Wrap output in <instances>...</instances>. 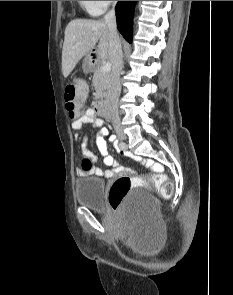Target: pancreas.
<instances>
[{
	"instance_id": "pancreas-1",
	"label": "pancreas",
	"mask_w": 233,
	"mask_h": 295,
	"mask_svg": "<svg viewBox=\"0 0 233 295\" xmlns=\"http://www.w3.org/2000/svg\"><path fill=\"white\" fill-rule=\"evenodd\" d=\"M102 65L98 64L94 69L93 86L97 92L98 97L107 96L110 89L111 72H102Z\"/></svg>"
}]
</instances>
